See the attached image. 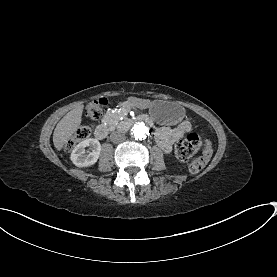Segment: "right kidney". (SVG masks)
<instances>
[{
  "instance_id": "obj_1",
  "label": "right kidney",
  "mask_w": 277,
  "mask_h": 277,
  "mask_svg": "<svg viewBox=\"0 0 277 277\" xmlns=\"http://www.w3.org/2000/svg\"><path fill=\"white\" fill-rule=\"evenodd\" d=\"M88 148L87 154L86 150ZM101 154V144L98 140L89 138L76 145L70 154V161L77 168H88L95 165Z\"/></svg>"
}]
</instances>
